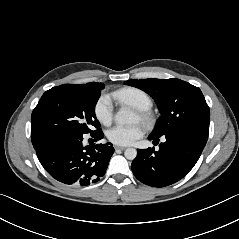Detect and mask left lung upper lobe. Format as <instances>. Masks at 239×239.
<instances>
[{
    "label": "left lung upper lobe",
    "mask_w": 239,
    "mask_h": 239,
    "mask_svg": "<svg viewBox=\"0 0 239 239\" xmlns=\"http://www.w3.org/2000/svg\"><path fill=\"white\" fill-rule=\"evenodd\" d=\"M125 85L148 93L161 117L150 135L161 137L175 131L209 134L210 110L198 87L180 79L128 80Z\"/></svg>",
    "instance_id": "left-lung-upper-lobe-1"
}]
</instances>
